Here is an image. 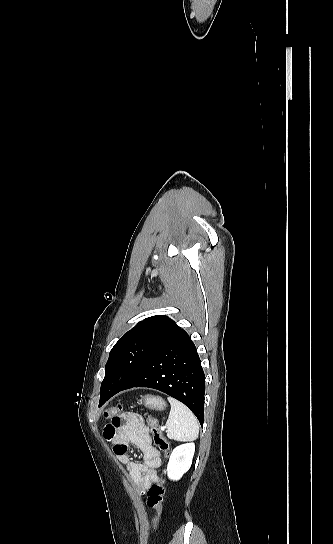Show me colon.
Here are the masks:
<instances>
[{
	"instance_id": "1",
	"label": "colon",
	"mask_w": 333,
	"mask_h": 544,
	"mask_svg": "<svg viewBox=\"0 0 333 544\" xmlns=\"http://www.w3.org/2000/svg\"><path fill=\"white\" fill-rule=\"evenodd\" d=\"M122 411L120 405L112 406L106 409L102 416L105 419L115 418ZM147 422L150 431L153 436V442L155 446L164 454L165 457L169 456L171 450L170 442L162 434L158 420L155 417L147 416ZM165 496V480L161 477L156 483H154L147 491V505L153 508L156 515L153 519V531L156 532L159 527L161 516L163 513V502Z\"/></svg>"
}]
</instances>
